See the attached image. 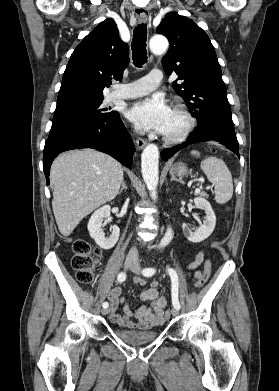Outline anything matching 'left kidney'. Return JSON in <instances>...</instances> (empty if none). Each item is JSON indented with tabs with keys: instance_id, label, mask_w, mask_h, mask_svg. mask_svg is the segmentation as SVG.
Wrapping results in <instances>:
<instances>
[{
	"instance_id": "obj_1",
	"label": "left kidney",
	"mask_w": 279,
	"mask_h": 391,
	"mask_svg": "<svg viewBox=\"0 0 279 391\" xmlns=\"http://www.w3.org/2000/svg\"><path fill=\"white\" fill-rule=\"evenodd\" d=\"M194 203L198 208L205 211V220L203 221V224L195 230V232H192L186 223L182 224V228L184 235L190 242L199 243L207 239L213 232L216 224V216L210 203L206 199L196 197L194 198Z\"/></svg>"
}]
</instances>
